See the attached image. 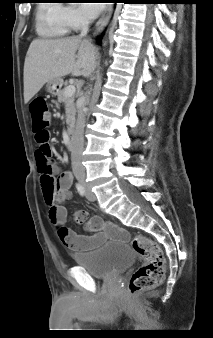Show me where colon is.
Listing matches in <instances>:
<instances>
[{
    "label": "colon",
    "instance_id": "5ec220e1",
    "mask_svg": "<svg viewBox=\"0 0 213 338\" xmlns=\"http://www.w3.org/2000/svg\"><path fill=\"white\" fill-rule=\"evenodd\" d=\"M33 118L35 140L39 145L47 144L49 140L48 127L52 122V115L46 101L35 98L29 106ZM37 169L41 177V188L45 204L48 208V217L56 223V182L52 175L54 170L52 156L39 148L35 153ZM104 225L92 222L91 229H99ZM133 250L139 255L141 265L133 272L129 279L128 290L137 293L146 288H154L161 284L165 276V258L158 243L144 235H135L130 239Z\"/></svg>",
    "mask_w": 213,
    "mask_h": 338
}]
</instances>
